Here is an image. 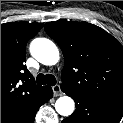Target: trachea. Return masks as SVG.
Returning a JSON list of instances; mask_svg holds the SVG:
<instances>
[{"label": "trachea", "instance_id": "1", "mask_svg": "<svg viewBox=\"0 0 123 123\" xmlns=\"http://www.w3.org/2000/svg\"><path fill=\"white\" fill-rule=\"evenodd\" d=\"M37 84L38 85H49V86H54L56 84V78L54 75L52 74H42L40 73L38 76H37Z\"/></svg>", "mask_w": 123, "mask_h": 123}]
</instances>
